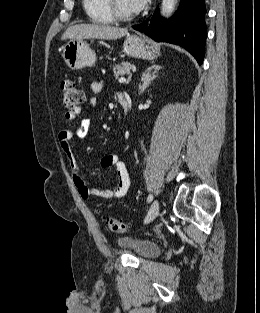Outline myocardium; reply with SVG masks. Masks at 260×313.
<instances>
[{
    "label": "myocardium",
    "mask_w": 260,
    "mask_h": 313,
    "mask_svg": "<svg viewBox=\"0 0 260 313\" xmlns=\"http://www.w3.org/2000/svg\"><path fill=\"white\" fill-rule=\"evenodd\" d=\"M107 2V7L109 10V13L111 15V17L114 20H118V21H129L131 19H133L135 17L134 13L131 14H125L122 13L116 5V0H106Z\"/></svg>",
    "instance_id": "1"
}]
</instances>
